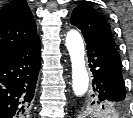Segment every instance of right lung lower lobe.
I'll return each instance as SVG.
<instances>
[{"label": "right lung lower lobe", "mask_w": 133, "mask_h": 118, "mask_svg": "<svg viewBox=\"0 0 133 118\" xmlns=\"http://www.w3.org/2000/svg\"><path fill=\"white\" fill-rule=\"evenodd\" d=\"M40 63V40L0 60V118H25Z\"/></svg>", "instance_id": "1"}]
</instances>
